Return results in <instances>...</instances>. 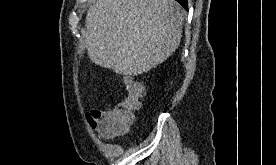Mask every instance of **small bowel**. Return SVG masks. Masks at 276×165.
Here are the masks:
<instances>
[{
	"mask_svg": "<svg viewBox=\"0 0 276 165\" xmlns=\"http://www.w3.org/2000/svg\"><path fill=\"white\" fill-rule=\"evenodd\" d=\"M102 112V110H92V111H90V113H101Z\"/></svg>",
	"mask_w": 276,
	"mask_h": 165,
	"instance_id": "1",
	"label": "small bowel"
}]
</instances>
